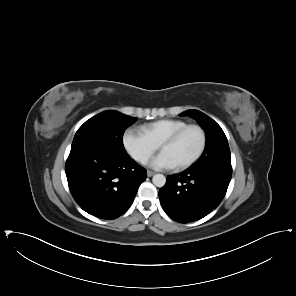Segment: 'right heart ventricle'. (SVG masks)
<instances>
[{
	"instance_id": "obj_1",
	"label": "right heart ventricle",
	"mask_w": 296,
	"mask_h": 296,
	"mask_svg": "<svg viewBox=\"0 0 296 296\" xmlns=\"http://www.w3.org/2000/svg\"><path fill=\"white\" fill-rule=\"evenodd\" d=\"M182 120L165 119L157 121L145 128V134L157 146H162L172 135L186 127Z\"/></svg>"
}]
</instances>
